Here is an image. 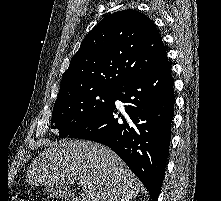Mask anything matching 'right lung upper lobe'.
Instances as JSON below:
<instances>
[{
	"label": "right lung upper lobe",
	"instance_id": "right-lung-upper-lobe-1",
	"mask_svg": "<svg viewBox=\"0 0 221 201\" xmlns=\"http://www.w3.org/2000/svg\"><path fill=\"white\" fill-rule=\"evenodd\" d=\"M166 60L159 31L146 15L130 9L110 14L82 41L62 77L57 99L93 88L115 90Z\"/></svg>",
	"mask_w": 221,
	"mask_h": 201
}]
</instances>
